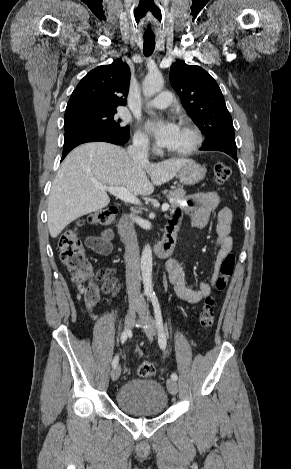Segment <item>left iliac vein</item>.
Returning <instances> with one entry per match:
<instances>
[{
	"label": "left iliac vein",
	"mask_w": 291,
	"mask_h": 469,
	"mask_svg": "<svg viewBox=\"0 0 291 469\" xmlns=\"http://www.w3.org/2000/svg\"><path fill=\"white\" fill-rule=\"evenodd\" d=\"M141 315L143 316L144 319V332L149 338H152L154 335H156L157 332V327L154 319L150 315L148 306L146 304L143 305L140 311ZM167 388L170 394L175 395L178 391V385L176 381L173 379H168L167 380Z\"/></svg>",
	"instance_id": "obj_1"
}]
</instances>
